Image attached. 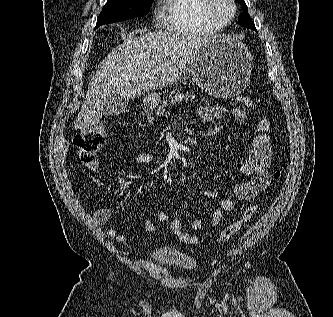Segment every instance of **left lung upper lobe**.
<instances>
[{
    "label": "left lung upper lobe",
    "instance_id": "5c2ea615",
    "mask_svg": "<svg viewBox=\"0 0 333 317\" xmlns=\"http://www.w3.org/2000/svg\"><path fill=\"white\" fill-rule=\"evenodd\" d=\"M239 4H241V6L243 7L244 11L241 15V17H239L238 21L241 25H243L244 27L253 29L256 31L255 28V24L254 22L251 20L250 15L248 14V8L247 5L245 4L244 0H236Z\"/></svg>",
    "mask_w": 333,
    "mask_h": 317
}]
</instances>
